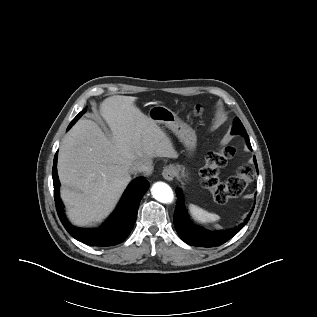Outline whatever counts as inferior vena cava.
<instances>
[{
	"instance_id": "602c4592",
	"label": "inferior vena cava",
	"mask_w": 317,
	"mask_h": 317,
	"mask_svg": "<svg viewBox=\"0 0 317 317\" xmlns=\"http://www.w3.org/2000/svg\"><path fill=\"white\" fill-rule=\"evenodd\" d=\"M153 170L152 162L150 161H139L136 162L132 168L131 172H139L144 173L145 175H149Z\"/></svg>"
}]
</instances>
